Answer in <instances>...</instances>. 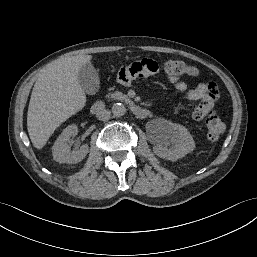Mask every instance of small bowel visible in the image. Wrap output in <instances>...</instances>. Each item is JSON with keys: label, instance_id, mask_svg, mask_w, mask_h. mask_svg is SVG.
Wrapping results in <instances>:
<instances>
[{"label": "small bowel", "instance_id": "obj_1", "mask_svg": "<svg viewBox=\"0 0 257 257\" xmlns=\"http://www.w3.org/2000/svg\"><path fill=\"white\" fill-rule=\"evenodd\" d=\"M158 73L159 66L156 61L139 58L131 63L121 64L116 70L115 80L122 87H130L140 83H152ZM166 85L187 100L199 101L192 110V117L195 120L204 119L214 107L219 96L215 83L202 82L194 89H188L187 84L177 74H170L166 78Z\"/></svg>", "mask_w": 257, "mask_h": 257}]
</instances>
